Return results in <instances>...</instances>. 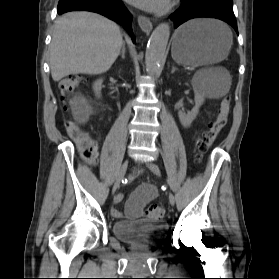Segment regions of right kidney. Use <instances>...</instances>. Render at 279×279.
<instances>
[{
	"instance_id": "1",
	"label": "right kidney",
	"mask_w": 279,
	"mask_h": 279,
	"mask_svg": "<svg viewBox=\"0 0 279 279\" xmlns=\"http://www.w3.org/2000/svg\"><path fill=\"white\" fill-rule=\"evenodd\" d=\"M103 79H98L93 83V91L95 96L100 98L101 97V89H102Z\"/></svg>"
}]
</instances>
